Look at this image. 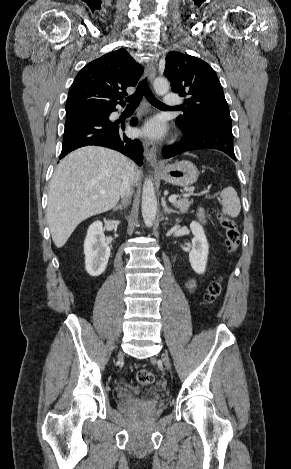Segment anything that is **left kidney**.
<instances>
[{
    "mask_svg": "<svg viewBox=\"0 0 291 469\" xmlns=\"http://www.w3.org/2000/svg\"><path fill=\"white\" fill-rule=\"evenodd\" d=\"M190 229L194 238L192 239V246L189 252V261L192 269L198 273L203 274L206 270V264L209 254V245L204 233L203 227L197 223L192 222Z\"/></svg>",
    "mask_w": 291,
    "mask_h": 469,
    "instance_id": "obj_1",
    "label": "left kidney"
}]
</instances>
